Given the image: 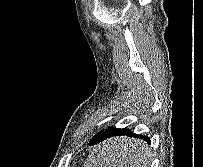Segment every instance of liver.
<instances>
[{
  "label": "liver",
  "mask_w": 203,
  "mask_h": 167,
  "mask_svg": "<svg viewBox=\"0 0 203 167\" xmlns=\"http://www.w3.org/2000/svg\"><path fill=\"white\" fill-rule=\"evenodd\" d=\"M120 145H122V146L120 148H118V150L122 149V150H124V152H128V153L130 152L131 153V150L129 147L123 146V144H121V143H120Z\"/></svg>",
  "instance_id": "liver-1"
}]
</instances>
